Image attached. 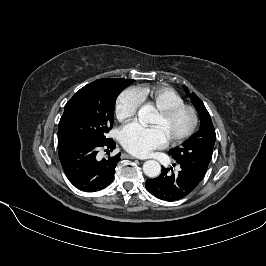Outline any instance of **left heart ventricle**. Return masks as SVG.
Returning <instances> with one entry per match:
<instances>
[{
  "mask_svg": "<svg viewBox=\"0 0 266 266\" xmlns=\"http://www.w3.org/2000/svg\"><path fill=\"white\" fill-rule=\"evenodd\" d=\"M190 124L191 116L187 111H182L169 119H165L157 114L152 120V125L160 127L168 139L182 135L189 128Z\"/></svg>",
  "mask_w": 266,
  "mask_h": 266,
  "instance_id": "b2bd125f",
  "label": "left heart ventricle"
}]
</instances>
